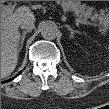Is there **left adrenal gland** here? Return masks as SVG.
I'll return each mask as SVG.
<instances>
[{"label":"left adrenal gland","instance_id":"obj_1","mask_svg":"<svg viewBox=\"0 0 109 109\" xmlns=\"http://www.w3.org/2000/svg\"><path fill=\"white\" fill-rule=\"evenodd\" d=\"M65 27L70 31V38H73L74 33H80L78 30L72 29L69 25H65Z\"/></svg>","mask_w":109,"mask_h":109}]
</instances>
